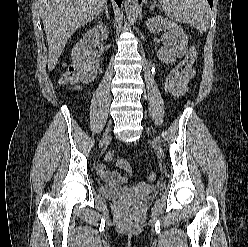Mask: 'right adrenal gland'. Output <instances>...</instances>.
<instances>
[{
	"instance_id": "2a0ac1e0",
	"label": "right adrenal gland",
	"mask_w": 248,
	"mask_h": 247,
	"mask_svg": "<svg viewBox=\"0 0 248 247\" xmlns=\"http://www.w3.org/2000/svg\"><path fill=\"white\" fill-rule=\"evenodd\" d=\"M101 13H105L107 19L110 20V15H109V12H108V5H107V3H105L103 9L101 10ZM100 15H101V14H100Z\"/></svg>"
}]
</instances>
